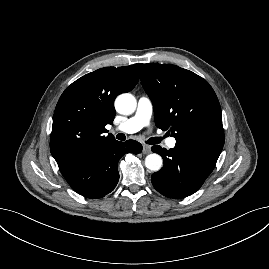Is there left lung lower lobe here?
Here are the masks:
<instances>
[{
	"instance_id": "left-lung-lower-lobe-1",
	"label": "left lung lower lobe",
	"mask_w": 269,
	"mask_h": 269,
	"mask_svg": "<svg viewBox=\"0 0 269 269\" xmlns=\"http://www.w3.org/2000/svg\"><path fill=\"white\" fill-rule=\"evenodd\" d=\"M162 156L163 168L152 174L154 188L169 198H184L195 193L213 171L223 146L191 141L176 142L166 150L153 146Z\"/></svg>"
}]
</instances>
